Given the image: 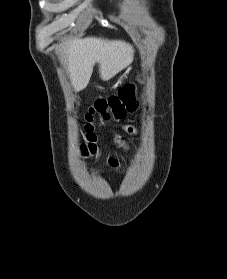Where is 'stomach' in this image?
Returning a JSON list of instances; mask_svg holds the SVG:
<instances>
[{
    "instance_id": "stomach-1",
    "label": "stomach",
    "mask_w": 227,
    "mask_h": 279,
    "mask_svg": "<svg viewBox=\"0 0 227 279\" xmlns=\"http://www.w3.org/2000/svg\"><path fill=\"white\" fill-rule=\"evenodd\" d=\"M126 78H127V73L122 74V75L117 79L115 85L121 84V83L123 82V80L126 79Z\"/></svg>"
}]
</instances>
